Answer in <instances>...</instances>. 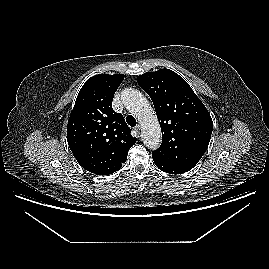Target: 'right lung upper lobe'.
I'll return each mask as SVG.
<instances>
[{"label":"right lung upper lobe","instance_id":"obj_1","mask_svg":"<svg viewBox=\"0 0 269 269\" xmlns=\"http://www.w3.org/2000/svg\"><path fill=\"white\" fill-rule=\"evenodd\" d=\"M124 75L99 74L81 88L67 125L68 145L87 171L109 175L127 160L136 143L122 114L112 109V101Z\"/></svg>","mask_w":269,"mask_h":269}]
</instances>
